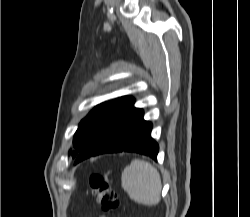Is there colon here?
<instances>
[{
	"mask_svg": "<svg viewBox=\"0 0 250 217\" xmlns=\"http://www.w3.org/2000/svg\"><path fill=\"white\" fill-rule=\"evenodd\" d=\"M90 193L97 199L103 212L110 213L119 209L120 200L117 192L100 174L90 177Z\"/></svg>",
	"mask_w": 250,
	"mask_h": 217,
	"instance_id": "5ec220e1",
	"label": "colon"
}]
</instances>
